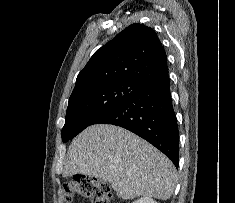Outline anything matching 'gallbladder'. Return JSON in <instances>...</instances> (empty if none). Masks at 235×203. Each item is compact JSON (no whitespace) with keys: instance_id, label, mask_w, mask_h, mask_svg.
<instances>
[{"instance_id":"obj_1","label":"gallbladder","mask_w":235,"mask_h":203,"mask_svg":"<svg viewBox=\"0 0 235 203\" xmlns=\"http://www.w3.org/2000/svg\"><path fill=\"white\" fill-rule=\"evenodd\" d=\"M107 181L106 180H100V185H106Z\"/></svg>"}]
</instances>
